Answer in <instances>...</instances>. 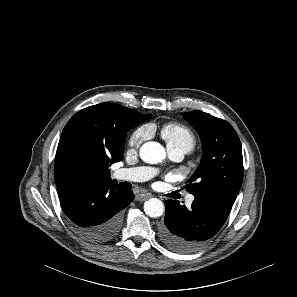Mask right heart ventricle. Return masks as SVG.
Returning a JSON list of instances; mask_svg holds the SVG:
<instances>
[{
	"instance_id": "obj_1",
	"label": "right heart ventricle",
	"mask_w": 297,
	"mask_h": 297,
	"mask_svg": "<svg viewBox=\"0 0 297 297\" xmlns=\"http://www.w3.org/2000/svg\"><path fill=\"white\" fill-rule=\"evenodd\" d=\"M161 135L167 147L186 146L192 149L195 145V136L186 126L178 123L166 124L161 129Z\"/></svg>"
}]
</instances>
